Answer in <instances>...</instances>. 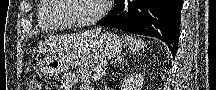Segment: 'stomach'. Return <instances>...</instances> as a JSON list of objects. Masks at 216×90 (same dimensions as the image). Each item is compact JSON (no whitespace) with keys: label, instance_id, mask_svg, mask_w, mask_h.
<instances>
[{"label":"stomach","instance_id":"1","mask_svg":"<svg viewBox=\"0 0 216 90\" xmlns=\"http://www.w3.org/2000/svg\"><path fill=\"white\" fill-rule=\"evenodd\" d=\"M123 40L112 32H105L87 39L85 44L69 56L48 57L40 65L46 76L61 74L72 64L80 66L96 65L120 53Z\"/></svg>","mask_w":216,"mask_h":90}]
</instances>
